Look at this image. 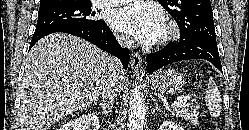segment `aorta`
<instances>
[{
  "mask_svg": "<svg viewBox=\"0 0 249 130\" xmlns=\"http://www.w3.org/2000/svg\"><path fill=\"white\" fill-rule=\"evenodd\" d=\"M146 114L144 95L137 84L130 93L128 110V130H143Z\"/></svg>",
  "mask_w": 249,
  "mask_h": 130,
  "instance_id": "aorta-1",
  "label": "aorta"
}]
</instances>
